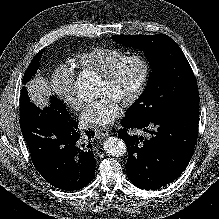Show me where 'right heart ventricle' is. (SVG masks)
Returning a JSON list of instances; mask_svg holds the SVG:
<instances>
[{
    "label": "right heart ventricle",
    "mask_w": 219,
    "mask_h": 219,
    "mask_svg": "<svg viewBox=\"0 0 219 219\" xmlns=\"http://www.w3.org/2000/svg\"><path fill=\"white\" fill-rule=\"evenodd\" d=\"M125 55V51L117 48L99 47L77 54L71 62L82 72L100 76Z\"/></svg>",
    "instance_id": "e07e8e85"
}]
</instances>
